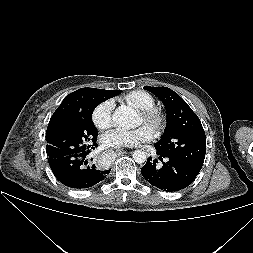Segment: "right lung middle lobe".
Masks as SVG:
<instances>
[{
	"label": "right lung middle lobe",
	"mask_w": 253,
	"mask_h": 253,
	"mask_svg": "<svg viewBox=\"0 0 253 253\" xmlns=\"http://www.w3.org/2000/svg\"><path fill=\"white\" fill-rule=\"evenodd\" d=\"M105 100L107 97L99 89L89 88L70 111L50 119L46 131V152L49 158H60L90 148L98 136L92 113Z\"/></svg>",
	"instance_id": "right-lung-middle-lobe-1"
}]
</instances>
